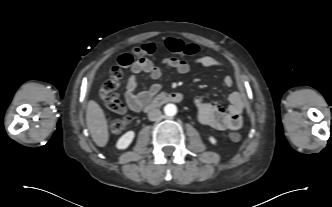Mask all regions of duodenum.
Returning <instances> with one entry per match:
<instances>
[{
	"label": "duodenum",
	"mask_w": 332,
	"mask_h": 207,
	"mask_svg": "<svg viewBox=\"0 0 332 207\" xmlns=\"http://www.w3.org/2000/svg\"><path fill=\"white\" fill-rule=\"evenodd\" d=\"M183 100V96L179 93H161L154 98L146 107L147 110L161 106L168 102H180Z\"/></svg>",
	"instance_id": "410a0bca"
}]
</instances>
